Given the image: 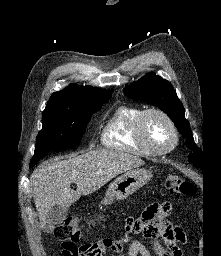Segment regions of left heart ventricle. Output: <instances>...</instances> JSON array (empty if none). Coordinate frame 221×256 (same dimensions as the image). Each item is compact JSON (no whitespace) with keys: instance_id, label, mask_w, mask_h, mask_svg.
<instances>
[{"instance_id":"b2bd125f","label":"left heart ventricle","mask_w":221,"mask_h":256,"mask_svg":"<svg viewBox=\"0 0 221 256\" xmlns=\"http://www.w3.org/2000/svg\"><path fill=\"white\" fill-rule=\"evenodd\" d=\"M144 133L151 145L164 149L173 142V133L168 123L159 115H149L145 120Z\"/></svg>"}]
</instances>
